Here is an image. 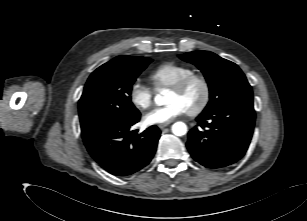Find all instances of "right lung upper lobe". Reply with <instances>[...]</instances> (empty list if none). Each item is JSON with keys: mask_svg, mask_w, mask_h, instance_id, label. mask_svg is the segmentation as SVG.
Masks as SVG:
<instances>
[{"mask_svg": "<svg viewBox=\"0 0 307 221\" xmlns=\"http://www.w3.org/2000/svg\"><path fill=\"white\" fill-rule=\"evenodd\" d=\"M139 57H129L127 55H123V56H118L114 59H112L111 61L107 62L106 64H114V63H117V62H120V61H131V60H135Z\"/></svg>", "mask_w": 307, "mask_h": 221, "instance_id": "1", "label": "right lung upper lobe"}]
</instances>
